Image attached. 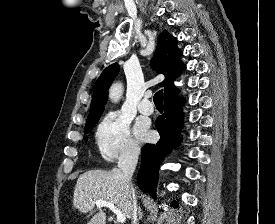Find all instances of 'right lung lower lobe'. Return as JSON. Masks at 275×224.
Here are the masks:
<instances>
[{
    "label": "right lung lower lobe",
    "mask_w": 275,
    "mask_h": 224,
    "mask_svg": "<svg viewBox=\"0 0 275 224\" xmlns=\"http://www.w3.org/2000/svg\"><path fill=\"white\" fill-rule=\"evenodd\" d=\"M178 90L174 87L164 93L165 111L155 122L160 134V140L156 144H145L142 148L141 166L137 175L138 186L144 192L156 198V186L159 177V164L163 158L164 150L174 148L180 144L179 131L183 124L182 104L176 99ZM178 203L173 202L176 206Z\"/></svg>",
    "instance_id": "98d812e1"
}]
</instances>
